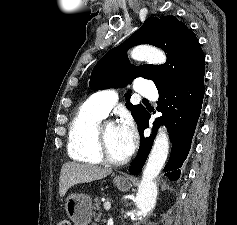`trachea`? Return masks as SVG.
Returning <instances> with one entry per match:
<instances>
[{
  "label": "trachea",
  "instance_id": "obj_1",
  "mask_svg": "<svg viewBox=\"0 0 237 225\" xmlns=\"http://www.w3.org/2000/svg\"><path fill=\"white\" fill-rule=\"evenodd\" d=\"M142 101L145 102V103H148V100H146V99H143Z\"/></svg>",
  "mask_w": 237,
  "mask_h": 225
}]
</instances>
